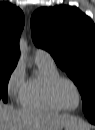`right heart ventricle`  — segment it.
I'll return each mask as SVG.
<instances>
[{
	"instance_id": "e07e8e85",
	"label": "right heart ventricle",
	"mask_w": 95,
	"mask_h": 130,
	"mask_svg": "<svg viewBox=\"0 0 95 130\" xmlns=\"http://www.w3.org/2000/svg\"><path fill=\"white\" fill-rule=\"evenodd\" d=\"M38 72L25 83L20 96V103L29 109H41L59 112L63 109L53 100L50 85L60 77V72L54 62L36 60Z\"/></svg>"
}]
</instances>
